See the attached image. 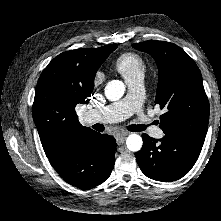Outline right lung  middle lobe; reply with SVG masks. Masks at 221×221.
Wrapping results in <instances>:
<instances>
[{"mask_svg":"<svg viewBox=\"0 0 221 221\" xmlns=\"http://www.w3.org/2000/svg\"><path fill=\"white\" fill-rule=\"evenodd\" d=\"M117 48V44H111L107 56Z\"/></svg>","mask_w":221,"mask_h":221,"instance_id":"right-lung-middle-lobe-1","label":"right lung middle lobe"}]
</instances>
